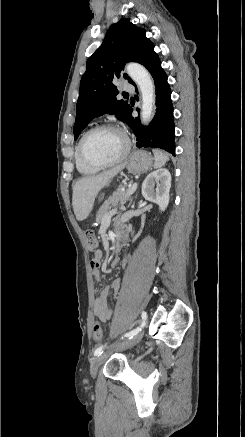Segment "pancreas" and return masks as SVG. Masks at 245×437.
<instances>
[{
	"label": "pancreas",
	"instance_id": "obj_1",
	"mask_svg": "<svg viewBox=\"0 0 245 437\" xmlns=\"http://www.w3.org/2000/svg\"><path fill=\"white\" fill-rule=\"evenodd\" d=\"M131 195H129V188L125 187L118 188L113 194L104 202L103 206L99 209L96 220L100 223L103 218L110 214L116 207H123L125 202L129 200Z\"/></svg>",
	"mask_w": 245,
	"mask_h": 437
}]
</instances>
